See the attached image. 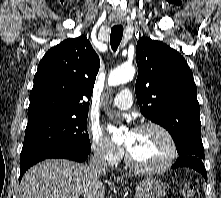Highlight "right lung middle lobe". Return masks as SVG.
<instances>
[{
  "mask_svg": "<svg viewBox=\"0 0 221 198\" xmlns=\"http://www.w3.org/2000/svg\"><path fill=\"white\" fill-rule=\"evenodd\" d=\"M87 116H46L29 121L20 161L53 147L73 148L90 153Z\"/></svg>",
  "mask_w": 221,
  "mask_h": 198,
  "instance_id": "right-lung-middle-lobe-1",
  "label": "right lung middle lobe"
}]
</instances>
